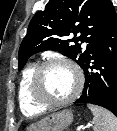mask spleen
Listing matches in <instances>:
<instances>
[{
    "label": "spleen",
    "instance_id": "3e777b00",
    "mask_svg": "<svg viewBox=\"0 0 117 131\" xmlns=\"http://www.w3.org/2000/svg\"><path fill=\"white\" fill-rule=\"evenodd\" d=\"M88 108L94 116V131H117V117L109 110L91 104Z\"/></svg>",
    "mask_w": 117,
    "mask_h": 131
}]
</instances>
